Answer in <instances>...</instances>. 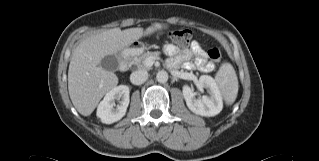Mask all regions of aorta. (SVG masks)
Returning a JSON list of instances; mask_svg holds the SVG:
<instances>
[{
	"instance_id": "1",
	"label": "aorta",
	"mask_w": 319,
	"mask_h": 161,
	"mask_svg": "<svg viewBox=\"0 0 319 161\" xmlns=\"http://www.w3.org/2000/svg\"><path fill=\"white\" fill-rule=\"evenodd\" d=\"M156 79L160 83H166L168 81V73L166 71H159L156 75Z\"/></svg>"
}]
</instances>
